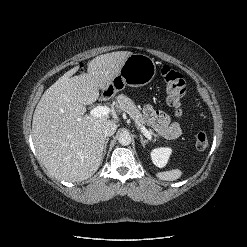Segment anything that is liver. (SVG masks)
<instances>
[{
    "label": "liver",
    "mask_w": 247,
    "mask_h": 247,
    "mask_svg": "<svg viewBox=\"0 0 247 247\" xmlns=\"http://www.w3.org/2000/svg\"><path fill=\"white\" fill-rule=\"evenodd\" d=\"M129 51L99 55L87 65V73L73 76L78 67L61 76L42 95L32 121L37 155L57 179L83 181L100 167L104 148L103 123L109 116L85 115L99 90H107L120 72Z\"/></svg>",
    "instance_id": "6515ba94"
}]
</instances>
